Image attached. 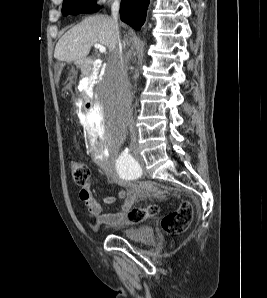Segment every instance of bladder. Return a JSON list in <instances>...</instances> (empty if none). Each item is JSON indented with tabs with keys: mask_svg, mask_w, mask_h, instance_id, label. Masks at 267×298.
<instances>
[{
	"mask_svg": "<svg viewBox=\"0 0 267 298\" xmlns=\"http://www.w3.org/2000/svg\"><path fill=\"white\" fill-rule=\"evenodd\" d=\"M120 235L134 242L151 243L154 241V230L149 225L122 229Z\"/></svg>",
	"mask_w": 267,
	"mask_h": 298,
	"instance_id": "31cf9c89",
	"label": "bladder"
}]
</instances>
